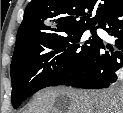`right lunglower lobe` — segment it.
<instances>
[{"label": "right lung lower lobe", "mask_w": 123, "mask_h": 113, "mask_svg": "<svg viewBox=\"0 0 123 113\" xmlns=\"http://www.w3.org/2000/svg\"><path fill=\"white\" fill-rule=\"evenodd\" d=\"M98 27L116 38V47L105 46L101 40L82 72L64 85L100 89L116 81L117 71L123 66V2L107 13Z\"/></svg>", "instance_id": "1"}]
</instances>
